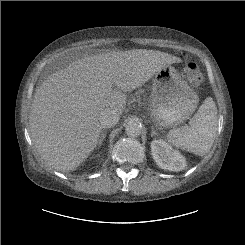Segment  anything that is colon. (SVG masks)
I'll return each mask as SVG.
<instances>
[{
	"label": "colon",
	"mask_w": 245,
	"mask_h": 245,
	"mask_svg": "<svg viewBox=\"0 0 245 245\" xmlns=\"http://www.w3.org/2000/svg\"><path fill=\"white\" fill-rule=\"evenodd\" d=\"M183 78L189 83V85L196 89L199 88L203 82V76L199 66L196 62L186 60L182 70Z\"/></svg>",
	"instance_id": "1"
}]
</instances>
